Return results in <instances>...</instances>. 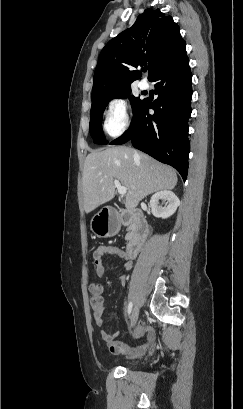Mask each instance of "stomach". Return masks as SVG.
<instances>
[{
    "instance_id": "0dacf381",
    "label": "stomach",
    "mask_w": 243,
    "mask_h": 409,
    "mask_svg": "<svg viewBox=\"0 0 243 409\" xmlns=\"http://www.w3.org/2000/svg\"><path fill=\"white\" fill-rule=\"evenodd\" d=\"M99 212L91 220V230L99 237H110L114 235L115 228L108 222V218Z\"/></svg>"
}]
</instances>
